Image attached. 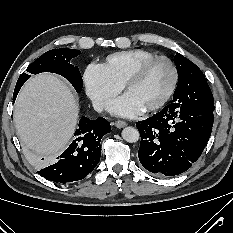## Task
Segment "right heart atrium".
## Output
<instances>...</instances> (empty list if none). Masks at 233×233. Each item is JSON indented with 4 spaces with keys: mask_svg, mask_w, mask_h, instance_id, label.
<instances>
[{
    "mask_svg": "<svg viewBox=\"0 0 233 233\" xmlns=\"http://www.w3.org/2000/svg\"><path fill=\"white\" fill-rule=\"evenodd\" d=\"M83 81L86 93L98 111L105 110L122 89V85L115 82L101 64H89Z\"/></svg>",
    "mask_w": 233,
    "mask_h": 233,
    "instance_id": "1",
    "label": "right heart atrium"
}]
</instances>
